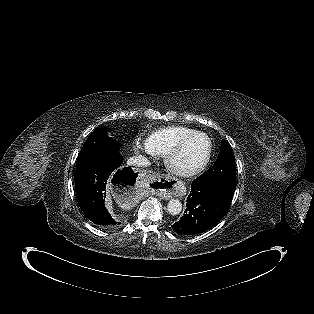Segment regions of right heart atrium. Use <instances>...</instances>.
<instances>
[{
    "label": "right heart atrium",
    "instance_id": "1",
    "mask_svg": "<svg viewBox=\"0 0 314 314\" xmlns=\"http://www.w3.org/2000/svg\"><path fill=\"white\" fill-rule=\"evenodd\" d=\"M133 147H134L135 151H137L139 153H145L148 156L157 157L152 153L147 142L144 139H142L141 137H137L134 140Z\"/></svg>",
    "mask_w": 314,
    "mask_h": 314
}]
</instances>
